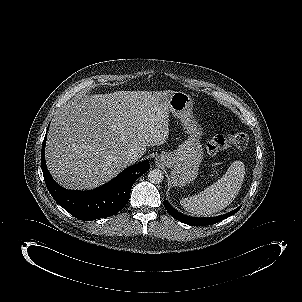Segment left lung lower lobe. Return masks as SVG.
Instances as JSON below:
<instances>
[{
	"label": "left lung lower lobe",
	"mask_w": 302,
	"mask_h": 302,
	"mask_svg": "<svg viewBox=\"0 0 302 302\" xmlns=\"http://www.w3.org/2000/svg\"><path fill=\"white\" fill-rule=\"evenodd\" d=\"M164 206H165L166 210L168 211V213L173 218L179 220L180 222H183L185 224L192 225V226H203V225H210V224L217 223V222L235 214L240 209V207H238L235 210H233L227 214L217 216V217L195 218V217L185 216V215L179 213L178 211L173 209V207H171L167 201H164Z\"/></svg>",
	"instance_id": "obj_1"
}]
</instances>
